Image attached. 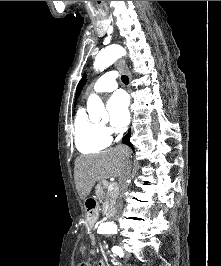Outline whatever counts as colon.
<instances>
[{
	"label": "colon",
	"mask_w": 221,
	"mask_h": 266,
	"mask_svg": "<svg viewBox=\"0 0 221 266\" xmlns=\"http://www.w3.org/2000/svg\"><path fill=\"white\" fill-rule=\"evenodd\" d=\"M79 266H88V265L85 263H81Z\"/></svg>",
	"instance_id": "1"
}]
</instances>
